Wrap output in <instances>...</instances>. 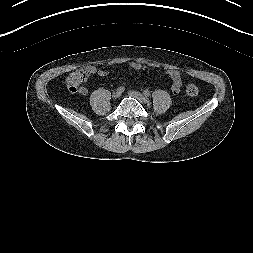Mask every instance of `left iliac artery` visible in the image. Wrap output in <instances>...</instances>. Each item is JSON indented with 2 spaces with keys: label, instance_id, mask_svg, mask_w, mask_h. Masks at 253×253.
Segmentation results:
<instances>
[{
  "label": "left iliac artery",
  "instance_id": "44dca946",
  "mask_svg": "<svg viewBox=\"0 0 253 253\" xmlns=\"http://www.w3.org/2000/svg\"><path fill=\"white\" fill-rule=\"evenodd\" d=\"M143 94L146 96V97H149L151 94L148 90H144L143 91Z\"/></svg>",
  "mask_w": 253,
  "mask_h": 253
}]
</instances>
